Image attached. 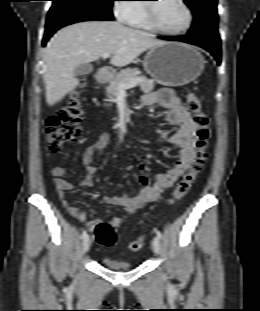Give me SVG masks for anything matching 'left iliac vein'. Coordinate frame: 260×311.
I'll return each instance as SVG.
<instances>
[{
	"instance_id": "4c4485c4",
	"label": "left iliac vein",
	"mask_w": 260,
	"mask_h": 311,
	"mask_svg": "<svg viewBox=\"0 0 260 311\" xmlns=\"http://www.w3.org/2000/svg\"><path fill=\"white\" fill-rule=\"evenodd\" d=\"M160 239L158 237H154L152 240V249L156 254L160 253Z\"/></svg>"
}]
</instances>
